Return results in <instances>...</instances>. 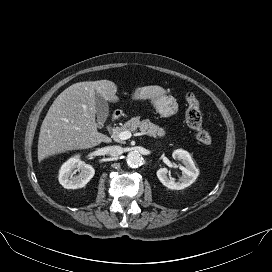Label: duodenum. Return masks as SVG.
<instances>
[{
  "mask_svg": "<svg viewBox=\"0 0 272 272\" xmlns=\"http://www.w3.org/2000/svg\"><path fill=\"white\" fill-rule=\"evenodd\" d=\"M122 115H123V112L121 110L115 111L112 121L119 120L122 117Z\"/></svg>",
  "mask_w": 272,
  "mask_h": 272,
  "instance_id": "1",
  "label": "duodenum"
}]
</instances>
